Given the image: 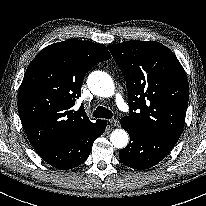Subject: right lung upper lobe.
<instances>
[{
    "instance_id": "right-lung-upper-lobe-1",
    "label": "right lung upper lobe",
    "mask_w": 206,
    "mask_h": 206,
    "mask_svg": "<svg viewBox=\"0 0 206 206\" xmlns=\"http://www.w3.org/2000/svg\"><path fill=\"white\" fill-rule=\"evenodd\" d=\"M105 45L67 40L45 47L29 64L18 95L21 122L36 150L74 139L95 123L83 106L72 110L83 78L110 59Z\"/></svg>"
}]
</instances>
